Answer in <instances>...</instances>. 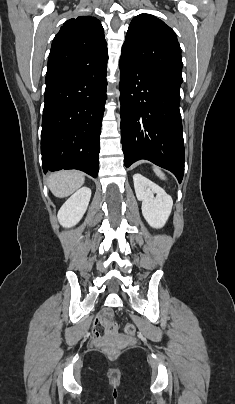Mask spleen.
<instances>
[{
  "mask_svg": "<svg viewBox=\"0 0 235 404\" xmlns=\"http://www.w3.org/2000/svg\"><path fill=\"white\" fill-rule=\"evenodd\" d=\"M153 170H154L155 174H156L158 177H160V178L163 179V180L166 179L165 174H164L158 167H154Z\"/></svg>",
  "mask_w": 235,
  "mask_h": 404,
  "instance_id": "1",
  "label": "spleen"
}]
</instances>
